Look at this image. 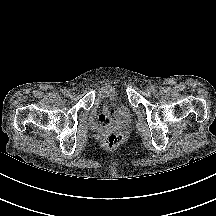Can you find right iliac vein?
Returning a JSON list of instances; mask_svg holds the SVG:
<instances>
[{
    "label": "right iliac vein",
    "mask_w": 216,
    "mask_h": 216,
    "mask_svg": "<svg viewBox=\"0 0 216 216\" xmlns=\"http://www.w3.org/2000/svg\"><path fill=\"white\" fill-rule=\"evenodd\" d=\"M73 95H74V93H71V94H70V96H73Z\"/></svg>",
    "instance_id": "63e3f726"
}]
</instances>
